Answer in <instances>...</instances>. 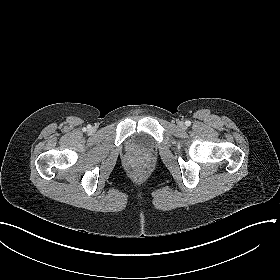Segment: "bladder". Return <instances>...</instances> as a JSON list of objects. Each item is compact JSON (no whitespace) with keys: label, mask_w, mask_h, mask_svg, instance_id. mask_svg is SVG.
<instances>
[{"label":"bladder","mask_w":280,"mask_h":280,"mask_svg":"<svg viewBox=\"0 0 280 280\" xmlns=\"http://www.w3.org/2000/svg\"><path fill=\"white\" fill-rule=\"evenodd\" d=\"M144 139L142 137H136L133 139V144L138 146V147H142L144 146Z\"/></svg>","instance_id":"1"}]
</instances>
